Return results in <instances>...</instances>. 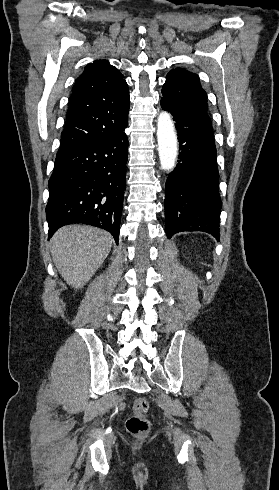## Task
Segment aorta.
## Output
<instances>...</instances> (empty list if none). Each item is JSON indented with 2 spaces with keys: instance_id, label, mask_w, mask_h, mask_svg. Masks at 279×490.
I'll return each instance as SVG.
<instances>
[{
  "instance_id": "aorta-1",
  "label": "aorta",
  "mask_w": 279,
  "mask_h": 490,
  "mask_svg": "<svg viewBox=\"0 0 279 490\" xmlns=\"http://www.w3.org/2000/svg\"><path fill=\"white\" fill-rule=\"evenodd\" d=\"M157 141L162 169L173 170L178 153L177 136L173 120L165 111L160 113L157 120Z\"/></svg>"
}]
</instances>
